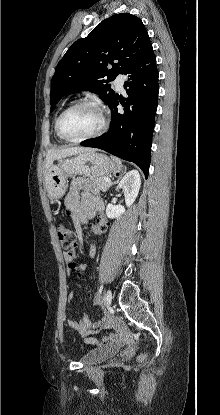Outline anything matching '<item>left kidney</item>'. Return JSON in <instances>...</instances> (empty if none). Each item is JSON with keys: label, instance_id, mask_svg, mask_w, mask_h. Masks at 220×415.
<instances>
[{"label": "left kidney", "instance_id": "1", "mask_svg": "<svg viewBox=\"0 0 220 415\" xmlns=\"http://www.w3.org/2000/svg\"><path fill=\"white\" fill-rule=\"evenodd\" d=\"M141 186V177L138 170H131L125 174L117 186L118 189L124 191L125 203L127 207H130L138 196ZM125 213L123 206H116L108 204L106 208V215L110 219L119 218Z\"/></svg>", "mask_w": 220, "mask_h": 415}]
</instances>
